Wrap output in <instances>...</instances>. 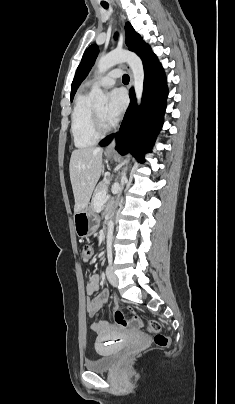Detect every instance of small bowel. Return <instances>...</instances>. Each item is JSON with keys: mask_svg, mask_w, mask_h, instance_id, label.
I'll list each match as a JSON object with an SVG mask.
<instances>
[{"mask_svg": "<svg viewBox=\"0 0 235 404\" xmlns=\"http://www.w3.org/2000/svg\"><path fill=\"white\" fill-rule=\"evenodd\" d=\"M100 282L101 279L99 275H91L86 285L87 294L92 295L98 292L100 289ZM106 300L107 293L105 292H102L96 298L89 300L87 302V311L89 315H96L100 311ZM91 329L97 334V346H99L104 341L118 337L120 335V329L117 327V325L104 320L93 322L91 325Z\"/></svg>", "mask_w": 235, "mask_h": 404, "instance_id": "1", "label": "small bowel"}]
</instances>
